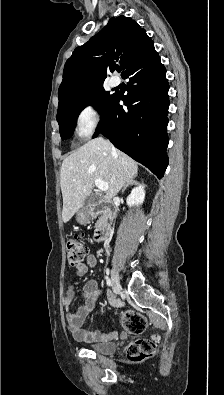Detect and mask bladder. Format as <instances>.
I'll use <instances>...</instances> for the list:
<instances>
[{
  "label": "bladder",
  "instance_id": "1",
  "mask_svg": "<svg viewBox=\"0 0 224 395\" xmlns=\"http://www.w3.org/2000/svg\"><path fill=\"white\" fill-rule=\"evenodd\" d=\"M87 348L95 353L107 355L114 353L117 346L116 344L110 342H97L89 344Z\"/></svg>",
  "mask_w": 224,
  "mask_h": 395
}]
</instances>
